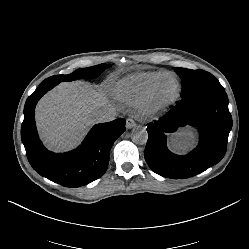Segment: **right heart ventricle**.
<instances>
[{
  "label": "right heart ventricle",
  "mask_w": 249,
  "mask_h": 249,
  "mask_svg": "<svg viewBox=\"0 0 249 249\" xmlns=\"http://www.w3.org/2000/svg\"><path fill=\"white\" fill-rule=\"evenodd\" d=\"M170 73L168 70H148L127 75L117 84V95L127 103L138 100L159 77Z\"/></svg>",
  "instance_id": "1"
}]
</instances>
